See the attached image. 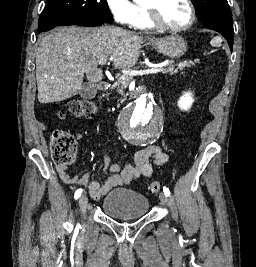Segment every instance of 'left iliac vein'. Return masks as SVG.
Segmentation results:
<instances>
[{"instance_id": "1", "label": "left iliac vein", "mask_w": 256, "mask_h": 267, "mask_svg": "<svg viewBox=\"0 0 256 267\" xmlns=\"http://www.w3.org/2000/svg\"><path fill=\"white\" fill-rule=\"evenodd\" d=\"M159 200L165 207H168L170 205L169 198L164 193H159Z\"/></svg>"}]
</instances>
